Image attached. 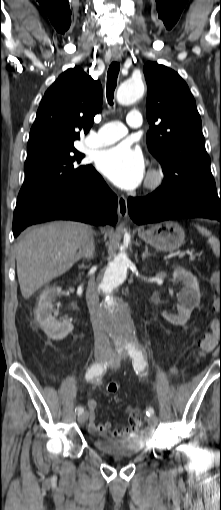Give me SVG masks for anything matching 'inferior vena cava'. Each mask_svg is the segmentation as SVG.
Wrapping results in <instances>:
<instances>
[{
	"mask_svg": "<svg viewBox=\"0 0 221 510\" xmlns=\"http://www.w3.org/2000/svg\"><path fill=\"white\" fill-rule=\"evenodd\" d=\"M94 250V239L91 231L84 243L79 248L77 258L91 257L93 256ZM86 298L94 331L95 351L109 352L111 350L110 342L106 332V325L102 318V313L99 306V296L96 290L95 280L93 278H91L88 282Z\"/></svg>",
	"mask_w": 221,
	"mask_h": 510,
	"instance_id": "602c4592",
	"label": "inferior vena cava"
}]
</instances>
